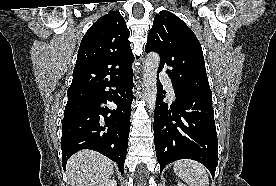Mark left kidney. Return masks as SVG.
I'll return each mask as SVG.
<instances>
[{
	"instance_id": "5707ae66",
	"label": "left kidney",
	"mask_w": 276,
	"mask_h": 186,
	"mask_svg": "<svg viewBox=\"0 0 276 186\" xmlns=\"http://www.w3.org/2000/svg\"><path fill=\"white\" fill-rule=\"evenodd\" d=\"M177 186H186V185L181 182H178Z\"/></svg>"
}]
</instances>
